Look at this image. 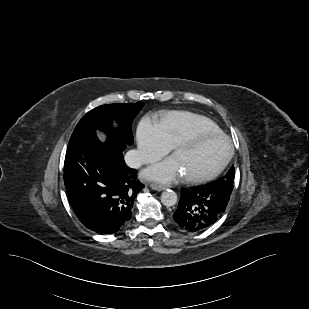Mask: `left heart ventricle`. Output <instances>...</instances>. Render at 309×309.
I'll use <instances>...</instances> for the list:
<instances>
[{
  "mask_svg": "<svg viewBox=\"0 0 309 309\" xmlns=\"http://www.w3.org/2000/svg\"><path fill=\"white\" fill-rule=\"evenodd\" d=\"M227 144L222 138H204L178 149L174 155L186 176L202 175L213 171L223 160Z\"/></svg>",
  "mask_w": 309,
  "mask_h": 309,
  "instance_id": "left-heart-ventricle-1",
  "label": "left heart ventricle"
}]
</instances>
